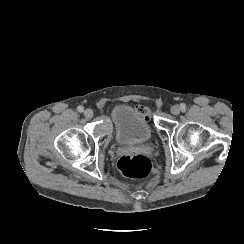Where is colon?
<instances>
[{"label": "colon", "mask_w": 244, "mask_h": 244, "mask_svg": "<svg viewBox=\"0 0 244 244\" xmlns=\"http://www.w3.org/2000/svg\"><path fill=\"white\" fill-rule=\"evenodd\" d=\"M119 169L127 177L145 178L152 170V162L145 155H124L119 160Z\"/></svg>", "instance_id": "obj_1"}]
</instances>
